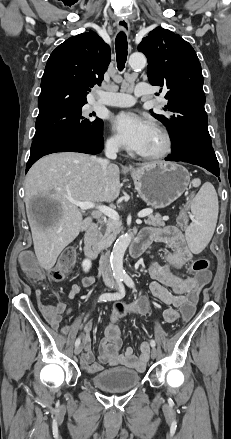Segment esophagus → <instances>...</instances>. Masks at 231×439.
Here are the masks:
<instances>
[{
  "mask_svg": "<svg viewBox=\"0 0 231 439\" xmlns=\"http://www.w3.org/2000/svg\"><path fill=\"white\" fill-rule=\"evenodd\" d=\"M117 27L119 30L125 32L126 34H129L130 32V24L126 18H119L117 20Z\"/></svg>",
  "mask_w": 231,
  "mask_h": 439,
  "instance_id": "1",
  "label": "esophagus"
}]
</instances>
